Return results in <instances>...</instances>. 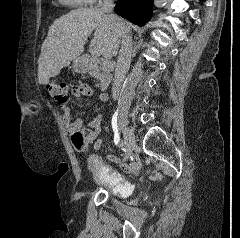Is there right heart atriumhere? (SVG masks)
I'll list each match as a JSON object with an SVG mask.
<instances>
[{
    "label": "right heart atrium",
    "mask_w": 240,
    "mask_h": 238,
    "mask_svg": "<svg viewBox=\"0 0 240 238\" xmlns=\"http://www.w3.org/2000/svg\"><path fill=\"white\" fill-rule=\"evenodd\" d=\"M90 3H95V2H102V1H106V0H89Z\"/></svg>",
    "instance_id": "right-heart-atrium-1"
}]
</instances>
